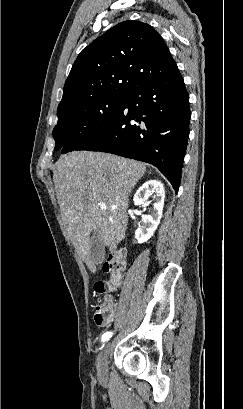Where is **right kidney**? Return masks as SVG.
<instances>
[{
    "instance_id": "ca27d5eb",
    "label": "right kidney",
    "mask_w": 243,
    "mask_h": 409,
    "mask_svg": "<svg viewBox=\"0 0 243 409\" xmlns=\"http://www.w3.org/2000/svg\"><path fill=\"white\" fill-rule=\"evenodd\" d=\"M153 195V208L150 214L142 216L141 225L135 232V239L138 243H144L151 238L157 229L164 206L165 190L163 184L157 180L145 182L134 195L135 205H146L147 199Z\"/></svg>"
}]
</instances>
